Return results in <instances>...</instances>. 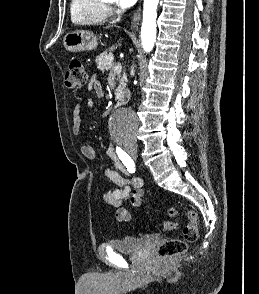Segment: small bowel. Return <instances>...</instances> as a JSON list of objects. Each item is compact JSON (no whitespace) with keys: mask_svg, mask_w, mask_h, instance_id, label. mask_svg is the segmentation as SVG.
<instances>
[{"mask_svg":"<svg viewBox=\"0 0 259 294\" xmlns=\"http://www.w3.org/2000/svg\"><path fill=\"white\" fill-rule=\"evenodd\" d=\"M88 88L94 90L97 97H103L104 90L96 79H92L89 83ZM88 105L92 106L93 101L90 99ZM73 125L72 130L74 134H81L83 131V122L81 117V106L77 104L73 111ZM82 155L90 160L97 158V153L93 146L90 144H83L80 146ZM104 154L109 156L114 162L116 169H106L104 171L105 177L117 186L114 190L105 191L102 195L103 200L106 204L117 208L115 212V218L119 222H127L131 219V212L121 207V204L125 200H129L132 208L137 210L142 203L144 191H143V180L138 177H129L130 172L124 165L122 160L119 158L116 149L113 147H107L104 150Z\"/></svg>","mask_w":259,"mask_h":294,"instance_id":"small-bowel-1","label":"small bowel"}]
</instances>
